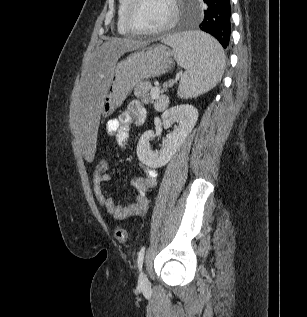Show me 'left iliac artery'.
<instances>
[{
  "label": "left iliac artery",
  "mask_w": 307,
  "mask_h": 317,
  "mask_svg": "<svg viewBox=\"0 0 307 317\" xmlns=\"http://www.w3.org/2000/svg\"><path fill=\"white\" fill-rule=\"evenodd\" d=\"M144 253H145V246H143L140 249V251L138 252L137 265H138L139 270L142 269Z\"/></svg>",
  "instance_id": "left-iliac-artery-1"
}]
</instances>
